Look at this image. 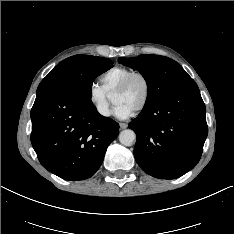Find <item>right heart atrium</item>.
Returning <instances> with one entry per match:
<instances>
[{
	"label": "right heart atrium",
	"instance_id": "right-heart-atrium-1",
	"mask_svg": "<svg viewBox=\"0 0 234 234\" xmlns=\"http://www.w3.org/2000/svg\"><path fill=\"white\" fill-rule=\"evenodd\" d=\"M87 97L89 103L93 106L94 110L99 116L103 118L110 116L111 100L101 86L95 83L90 84L87 91Z\"/></svg>",
	"mask_w": 234,
	"mask_h": 234
}]
</instances>
